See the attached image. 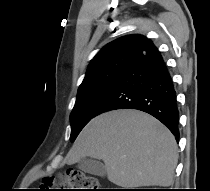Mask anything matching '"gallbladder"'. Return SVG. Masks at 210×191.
<instances>
[{
  "label": "gallbladder",
  "mask_w": 210,
  "mask_h": 191,
  "mask_svg": "<svg viewBox=\"0 0 210 191\" xmlns=\"http://www.w3.org/2000/svg\"><path fill=\"white\" fill-rule=\"evenodd\" d=\"M78 168L92 175L105 176L106 174L104 165L100 161L92 158H83L80 160Z\"/></svg>",
  "instance_id": "obj_1"
}]
</instances>
